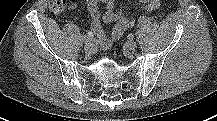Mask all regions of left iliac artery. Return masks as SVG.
Returning <instances> with one entry per match:
<instances>
[{
	"label": "left iliac artery",
	"mask_w": 217,
	"mask_h": 121,
	"mask_svg": "<svg viewBox=\"0 0 217 121\" xmlns=\"http://www.w3.org/2000/svg\"><path fill=\"white\" fill-rule=\"evenodd\" d=\"M149 24H151V18H149L147 16H141L138 19V23H137L138 26H145V25H149Z\"/></svg>",
	"instance_id": "obj_1"
}]
</instances>
